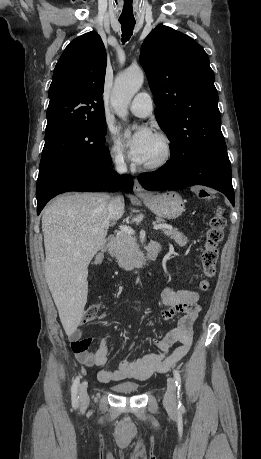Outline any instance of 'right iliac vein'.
<instances>
[{
	"mask_svg": "<svg viewBox=\"0 0 261 459\" xmlns=\"http://www.w3.org/2000/svg\"><path fill=\"white\" fill-rule=\"evenodd\" d=\"M79 398H80V405L82 408H85L87 407L88 403H89V396H88V393H87V383L86 382H83L81 385H80V388H79Z\"/></svg>",
	"mask_w": 261,
	"mask_h": 459,
	"instance_id": "1",
	"label": "right iliac vein"
}]
</instances>
